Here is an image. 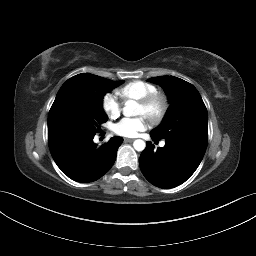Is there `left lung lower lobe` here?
<instances>
[{"label": "left lung lower lobe", "mask_w": 256, "mask_h": 256, "mask_svg": "<svg viewBox=\"0 0 256 256\" xmlns=\"http://www.w3.org/2000/svg\"><path fill=\"white\" fill-rule=\"evenodd\" d=\"M205 151L183 141H166L164 147L154 151L152 143L147 142L139 158V165L151 184L164 189L173 188L190 178Z\"/></svg>", "instance_id": "1"}]
</instances>
